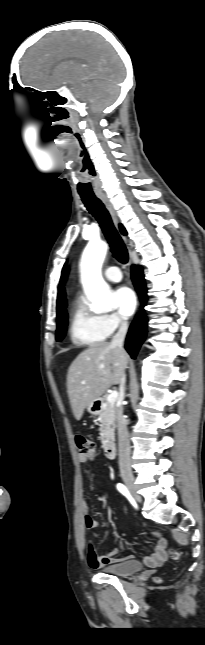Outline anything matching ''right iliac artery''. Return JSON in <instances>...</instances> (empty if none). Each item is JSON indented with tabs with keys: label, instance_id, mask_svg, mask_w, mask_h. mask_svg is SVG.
<instances>
[{
	"label": "right iliac artery",
	"instance_id": "obj_1",
	"mask_svg": "<svg viewBox=\"0 0 205 645\" xmlns=\"http://www.w3.org/2000/svg\"><path fill=\"white\" fill-rule=\"evenodd\" d=\"M117 489H118V491H119L120 493H122L123 495H125V496H129V491H128V489L125 487V485H123V484H121V483H118V484H117Z\"/></svg>",
	"mask_w": 205,
	"mask_h": 645
}]
</instances>
